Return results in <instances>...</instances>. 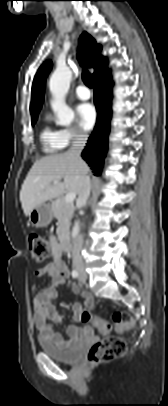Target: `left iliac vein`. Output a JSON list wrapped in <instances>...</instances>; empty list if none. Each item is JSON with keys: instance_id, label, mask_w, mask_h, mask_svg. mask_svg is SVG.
Returning a JSON list of instances; mask_svg holds the SVG:
<instances>
[{"instance_id": "left-iliac-vein-1", "label": "left iliac vein", "mask_w": 168, "mask_h": 406, "mask_svg": "<svg viewBox=\"0 0 168 406\" xmlns=\"http://www.w3.org/2000/svg\"><path fill=\"white\" fill-rule=\"evenodd\" d=\"M80 281H81V282H85V281H86V275H85L84 273H82V274L80 275Z\"/></svg>"}]
</instances>
